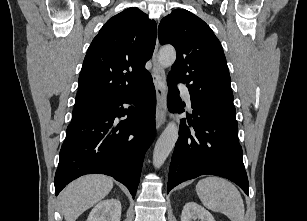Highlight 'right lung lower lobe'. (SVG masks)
I'll return each mask as SVG.
<instances>
[{
  "label": "right lung lower lobe",
  "mask_w": 307,
  "mask_h": 221,
  "mask_svg": "<svg viewBox=\"0 0 307 221\" xmlns=\"http://www.w3.org/2000/svg\"><path fill=\"white\" fill-rule=\"evenodd\" d=\"M130 104L124 109L123 104ZM155 88L150 76L142 87L105 104L97 113L70 123L60 150L55 194L91 173L112 176L135 196L144 155L155 135ZM127 116L120 124L116 117Z\"/></svg>",
  "instance_id": "right-lung-lower-lobe-1"
}]
</instances>
